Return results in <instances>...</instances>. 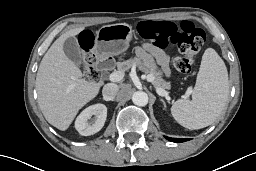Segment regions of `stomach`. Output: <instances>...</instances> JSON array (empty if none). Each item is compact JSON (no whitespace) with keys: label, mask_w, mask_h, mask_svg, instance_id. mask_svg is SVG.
I'll return each instance as SVG.
<instances>
[{"label":"stomach","mask_w":256,"mask_h":171,"mask_svg":"<svg viewBox=\"0 0 256 171\" xmlns=\"http://www.w3.org/2000/svg\"><path fill=\"white\" fill-rule=\"evenodd\" d=\"M133 29L127 23L106 25L97 31L93 53L98 59L117 56L129 48Z\"/></svg>","instance_id":"0dacf381"}]
</instances>
